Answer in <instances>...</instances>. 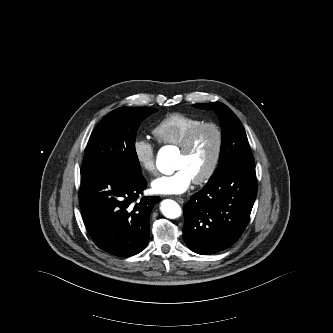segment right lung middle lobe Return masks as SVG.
<instances>
[{
  "label": "right lung middle lobe",
  "mask_w": 333,
  "mask_h": 333,
  "mask_svg": "<svg viewBox=\"0 0 333 333\" xmlns=\"http://www.w3.org/2000/svg\"><path fill=\"white\" fill-rule=\"evenodd\" d=\"M156 111L150 107H121L107 114L87 144L82 169H116L142 176L135 150L136 132L141 122Z\"/></svg>",
  "instance_id": "right-lung-middle-lobe-1"
}]
</instances>
